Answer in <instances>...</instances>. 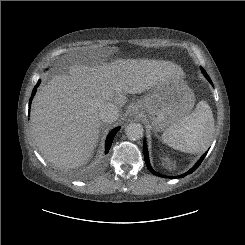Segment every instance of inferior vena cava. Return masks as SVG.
Here are the masks:
<instances>
[{
	"mask_svg": "<svg viewBox=\"0 0 245 245\" xmlns=\"http://www.w3.org/2000/svg\"><path fill=\"white\" fill-rule=\"evenodd\" d=\"M119 117V109L112 103H101L99 105V118L104 123L115 122Z\"/></svg>",
	"mask_w": 245,
	"mask_h": 245,
	"instance_id": "obj_1",
	"label": "inferior vena cava"
}]
</instances>
